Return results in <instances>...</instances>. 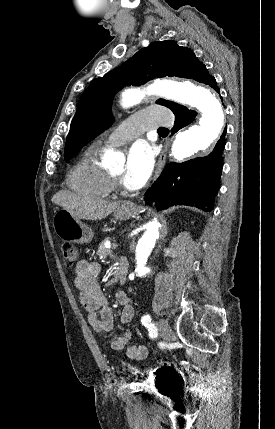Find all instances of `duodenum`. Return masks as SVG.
I'll use <instances>...</instances> for the list:
<instances>
[{
  "label": "duodenum",
  "mask_w": 275,
  "mask_h": 429,
  "mask_svg": "<svg viewBox=\"0 0 275 429\" xmlns=\"http://www.w3.org/2000/svg\"><path fill=\"white\" fill-rule=\"evenodd\" d=\"M127 271H128L127 261L121 260L116 269L117 278L121 284H124L126 281Z\"/></svg>",
  "instance_id": "duodenum-1"
}]
</instances>
